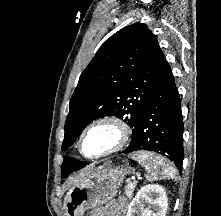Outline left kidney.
<instances>
[{"label": "left kidney", "instance_id": "left-kidney-1", "mask_svg": "<svg viewBox=\"0 0 221 216\" xmlns=\"http://www.w3.org/2000/svg\"><path fill=\"white\" fill-rule=\"evenodd\" d=\"M167 208L168 198L164 188L149 184L141 187L129 204L127 216H166Z\"/></svg>", "mask_w": 221, "mask_h": 216}]
</instances>
